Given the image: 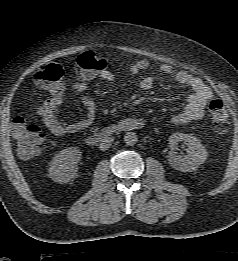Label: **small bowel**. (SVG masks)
Segmentation results:
<instances>
[{"label":"small bowel","mask_w":238,"mask_h":261,"mask_svg":"<svg viewBox=\"0 0 238 261\" xmlns=\"http://www.w3.org/2000/svg\"><path fill=\"white\" fill-rule=\"evenodd\" d=\"M153 67L155 73L164 76H170L175 82L187 86L191 89V93L187 98V103L183 110L171 118V124L174 126L185 125L190 122L199 120L203 117L204 109L208 101L212 98L210 88L198 77H195L186 71L175 70L172 66L164 63L154 64L149 60L143 59L136 62L130 69L132 75L138 74L144 70ZM98 75L101 79L111 82L116 79L115 73L104 67L95 75H83L72 87V90L80 94V102L86 109L84 118L75 122H65L58 117V111L63 104V92H53L52 97L45 100L38 109V115L43 125L55 136H63L66 134L78 133L88 129L95 120L96 104L84 92L88 88V81ZM154 85L152 76L144 77L139 87L144 90H150ZM121 122L134 123L137 128H141L146 121L141 118H127Z\"/></svg>","instance_id":"obj_1"}]
</instances>
